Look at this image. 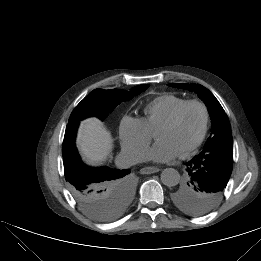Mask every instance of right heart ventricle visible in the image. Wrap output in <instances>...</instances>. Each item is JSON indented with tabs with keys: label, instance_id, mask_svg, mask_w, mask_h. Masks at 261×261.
<instances>
[{
	"label": "right heart ventricle",
	"instance_id": "e07e8e85",
	"mask_svg": "<svg viewBox=\"0 0 261 261\" xmlns=\"http://www.w3.org/2000/svg\"><path fill=\"white\" fill-rule=\"evenodd\" d=\"M187 101L185 97L174 94H162L144 108V115L140 118L146 128L155 132L171 116L182 103Z\"/></svg>",
	"mask_w": 261,
	"mask_h": 261
}]
</instances>
